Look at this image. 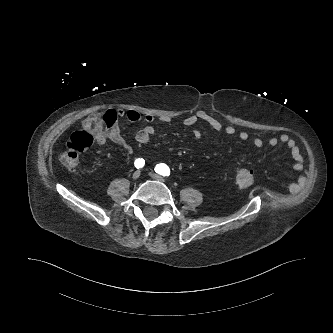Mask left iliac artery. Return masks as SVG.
Wrapping results in <instances>:
<instances>
[{"mask_svg": "<svg viewBox=\"0 0 333 333\" xmlns=\"http://www.w3.org/2000/svg\"><path fill=\"white\" fill-rule=\"evenodd\" d=\"M154 170H155L156 173H158L162 176H169L170 175V169L164 163L157 164Z\"/></svg>", "mask_w": 333, "mask_h": 333, "instance_id": "1", "label": "left iliac artery"}]
</instances>
